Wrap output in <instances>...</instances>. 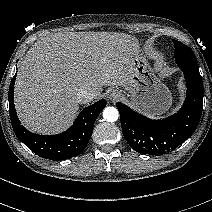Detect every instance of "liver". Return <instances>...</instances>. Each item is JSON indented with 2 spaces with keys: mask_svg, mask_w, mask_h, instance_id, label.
Here are the masks:
<instances>
[{
  "mask_svg": "<svg viewBox=\"0 0 212 212\" xmlns=\"http://www.w3.org/2000/svg\"><path fill=\"white\" fill-rule=\"evenodd\" d=\"M136 38L109 32L55 33L26 53L15 83V107L30 131L54 134L74 121L79 90L102 93L124 85V66Z\"/></svg>",
  "mask_w": 212,
  "mask_h": 212,
  "instance_id": "1",
  "label": "liver"
}]
</instances>
